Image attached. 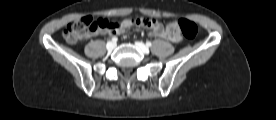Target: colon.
I'll list each match as a JSON object with an SVG mask.
<instances>
[{"label": "colon", "instance_id": "obj_1", "mask_svg": "<svg viewBox=\"0 0 276 120\" xmlns=\"http://www.w3.org/2000/svg\"><path fill=\"white\" fill-rule=\"evenodd\" d=\"M152 19L141 18L135 23L140 26L149 27ZM120 27L119 24L106 19H93L91 17H83L79 20L71 22L63 31V37L68 43H76L83 37L98 32H115ZM166 30L170 34H178L179 32L187 39H194L197 36V25L190 20L181 19L168 23Z\"/></svg>", "mask_w": 276, "mask_h": 120}]
</instances>
